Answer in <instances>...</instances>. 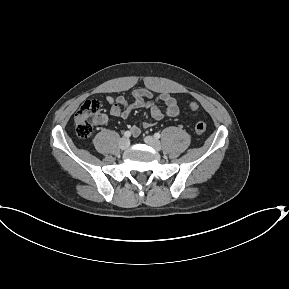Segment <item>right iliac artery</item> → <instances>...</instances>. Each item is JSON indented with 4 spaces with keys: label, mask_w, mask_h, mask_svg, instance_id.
Returning <instances> with one entry per match:
<instances>
[{
    "label": "right iliac artery",
    "mask_w": 289,
    "mask_h": 289,
    "mask_svg": "<svg viewBox=\"0 0 289 289\" xmlns=\"http://www.w3.org/2000/svg\"><path fill=\"white\" fill-rule=\"evenodd\" d=\"M124 136H125L126 138H129V137L131 136V132H130V131H126V132L124 133Z\"/></svg>",
    "instance_id": "1"
}]
</instances>
